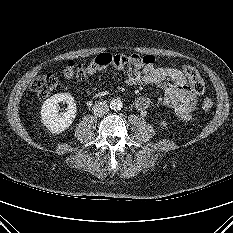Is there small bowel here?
Returning <instances> with one entry per match:
<instances>
[{
  "instance_id": "c3829d8e",
  "label": "small bowel",
  "mask_w": 233,
  "mask_h": 233,
  "mask_svg": "<svg viewBox=\"0 0 233 233\" xmlns=\"http://www.w3.org/2000/svg\"><path fill=\"white\" fill-rule=\"evenodd\" d=\"M114 57L111 66L124 73L127 85H156L164 88L165 105L173 109L182 120L191 119L198 93L189 86L184 69L145 65L134 53H122ZM135 106L139 110H145L150 106V100L146 96H139L135 100Z\"/></svg>"
}]
</instances>
